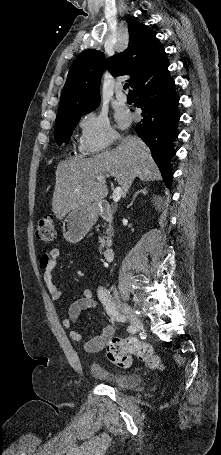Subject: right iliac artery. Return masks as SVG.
I'll list each match as a JSON object with an SVG mask.
<instances>
[{
    "instance_id": "1",
    "label": "right iliac artery",
    "mask_w": 221,
    "mask_h": 455,
    "mask_svg": "<svg viewBox=\"0 0 221 455\" xmlns=\"http://www.w3.org/2000/svg\"><path fill=\"white\" fill-rule=\"evenodd\" d=\"M98 298H99L100 302L103 304L107 314L112 319H115V320L120 321V322H124L125 321V319H126L125 316L121 315L118 312L117 306H116L114 300L112 299L110 292L106 288L100 287L98 289ZM128 331H129V334H135L136 333V330L133 329L132 326H128Z\"/></svg>"
}]
</instances>
